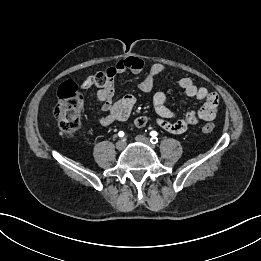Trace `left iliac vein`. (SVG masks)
Returning a JSON list of instances; mask_svg holds the SVG:
<instances>
[{
	"instance_id": "obj_1",
	"label": "left iliac vein",
	"mask_w": 261,
	"mask_h": 261,
	"mask_svg": "<svg viewBox=\"0 0 261 261\" xmlns=\"http://www.w3.org/2000/svg\"><path fill=\"white\" fill-rule=\"evenodd\" d=\"M135 139H136V141H138V142H142V143H144V144L149 145L150 147H154V146L151 144L149 138L146 137V136H144V135H137Z\"/></svg>"
}]
</instances>
